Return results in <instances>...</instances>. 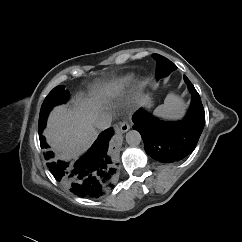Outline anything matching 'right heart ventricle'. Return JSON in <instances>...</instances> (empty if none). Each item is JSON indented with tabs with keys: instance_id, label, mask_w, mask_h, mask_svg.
I'll list each match as a JSON object with an SVG mask.
<instances>
[{
	"instance_id": "obj_1",
	"label": "right heart ventricle",
	"mask_w": 242,
	"mask_h": 242,
	"mask_svg": "<svg viewBox=\"0 0 242 242\" xmlns=\"http://www.w3.org/2000/svg\"><path fill=\"white\" fill-rule=\"evenodd\" d=\"M133 77L131 75H127L116 82H114L109 88L110 95H117L119 94L131 81Z\"/></svg>"
}]
</instances>
